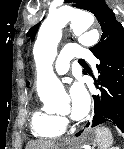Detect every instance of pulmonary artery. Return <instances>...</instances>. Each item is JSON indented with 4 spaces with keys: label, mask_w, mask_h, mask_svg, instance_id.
I'll return each instance as SVG.
<instances>
[{
    "label": "pulmonary artery",
    "mask_w": 124,
    "mask_h": 149,
    "mask_svg": "<svg viewBox=\"0 0 124 149\" xmlns=\"http://www.w3.org/2000/svg\"><path fill=\"white\" fill-rule=\"evenodd\" d=\"M75 58L94 61L93 55L89 51V49L74 43L67 44L61 50L58 59L56 61L54 67L56 74L64 75L65 73H67L71 61Z\"/></svg>",
    "instance_id": "pulmonary-artery-1"
}]
</instances>
